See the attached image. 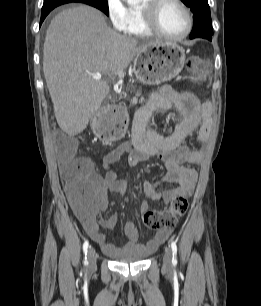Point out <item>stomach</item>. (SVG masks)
I'll return each mask as SVG.
<instances>
[{
    "label": "stomach",
    "instance_id": "stomach-1",
    "mask_svg": "<svg viewBox=\"0 0 261 306\" xmlns=\"http://www.w3.org/2000/svg\"><path fill=\"white\" fill-rule=\"evenodd\" d=\"M185 64V50L173 42L156 43L140 51L134 61L137 78L146 85H157L176 77ZM100 116L91 118V126L97 136L103 135Z\"/></svg>",
    "mask_w": 261,
    "mask_h": 306
}]
</instances>
